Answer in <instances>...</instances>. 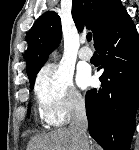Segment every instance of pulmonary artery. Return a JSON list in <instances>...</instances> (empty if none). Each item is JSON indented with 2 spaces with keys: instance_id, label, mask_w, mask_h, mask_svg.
Here are the masks:
<instances>
[{
  "instance_id": "1",
  "label": "pulmonary artery",
  "mask_w": 139,
  "mask_h": 150,
  "mask_svg": "<svg viewBox=\"0 0 139 150\" xmlns=\"http://www.w3.org/2000/svg\"><path fill=\"white\" fill-rule=\"evenodd\" d=\"M78 56L81 60L88 61L92 58L93 52L88 47L84 46L80 49Z\"/></svg>"
}]
</instances>
